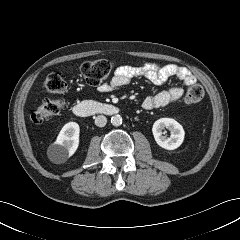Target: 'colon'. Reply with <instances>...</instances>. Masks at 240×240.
I'll return each mask as SVG.
<instances>
[{"instance_id":"colon-1","label":"colon","mask_w":240,"mask_h":240,"mask_svg":"<svg viewBox=\"0 0 240 240\" xmlns=\"http://www.w3.org/2000/svg\"><path fill=\"white\" fill-rule=\"evenodd\" d=\"M113 63L108 60H95L83 63L81 67L82 75L87 84L96 86L111 73ZM44 87L49 93L62 92L66 88L63 76L58 72L50 73L45 81ZM204 97V89L199 84L190 86L183 98L182 102L186 105L196 104ZM64 108V102L60 99L46 100L32 114V121L36 124L43 123L54 116L58 115Z\"/></svg>"}]
</instances>
